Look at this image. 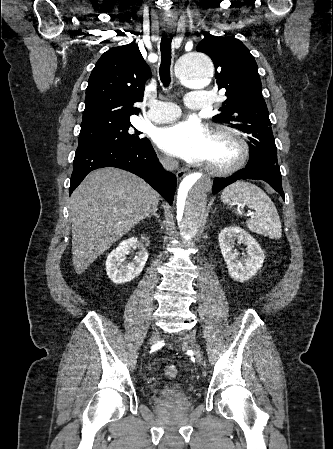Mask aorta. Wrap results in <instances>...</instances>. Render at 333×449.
<instances>
[{
    "label": "aorta",
    "mask_w": 333,
    "mask_h": 449,
    "mask_svg": "<svg viewBox=\"0 0 333 449\" xmlns=\"http://www.w3.org/2000/svg\"><path fill=\"white\" fill-rule=\"evenodd\" d=\"M178 78L187 87H206L214 76V65L205 53L192 52L179 61ZM212 189L211 178L191 173L177 189V219L180 234L185 240H192L198 233L206 207L207 195Z\"/></svg>",
    "instance_id": "obj_1"
}]
</instances>
